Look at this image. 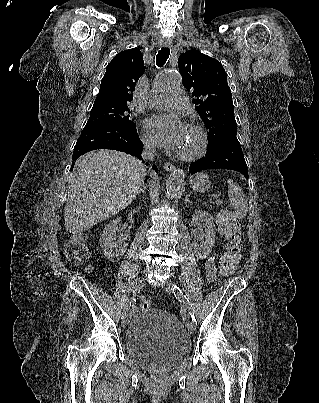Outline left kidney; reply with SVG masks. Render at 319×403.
Listing matches in <instances>:
<instances>
[{"mask_svg":"<svg viewBox=\"0 0 319 403\" xmlns=\"http://www.w3.org/2000/svg\"><path fill=\"white\" fill-rule=\"evenodd\" d=\"M192 221L195 224L204 222L205 232L203 233V238H205V241L200 244L196 241L193 243L195 255L200 259H204L210 255L215 243L216 227L213 217L206 211L197 210L192 215Z\"/></svg>","mask_w":319,"mask_h":403,"instance_id":"obj_1","label":"left kidney"}]
</instances>
